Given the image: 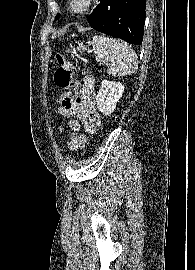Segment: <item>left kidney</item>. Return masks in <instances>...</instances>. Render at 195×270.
Instances as JSON below:
<instances>
[{
	"label": "left kidney",
	"instance_id": "5707ae66",
	"mask_svg": "<svg viewBox=\"0 0 195 270\" xmlns=\"http://www.w3.org/2000/svg\"><path fill=\"white\" fill-rule=\"evenodd\" d=\"M124 85L120 82L103 80L96 100L101 113L106 116L111 115L116 109V104L122 97Z\"/></svg>",
	"mask_w": 195,
	"mask_h": 270
}]
</instances>
